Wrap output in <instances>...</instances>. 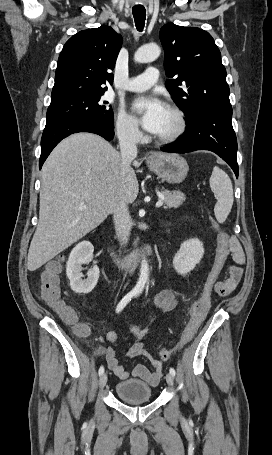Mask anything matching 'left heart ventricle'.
Listing matches in <instances>:
<instances>
[{"mask_svg":"<svg viewBox=\"0 0 272 455\" xmlns=\"http://www.w3.org/2000/svg\"><path fill=\"white\" fill-rule=\"evenodd\" d=\"M175 127V118L173 114L167 109L161 128L156 135L161 136L170 133Z\"/></svg>","mask_w":272,"mask_h":455,"instance_id":"1","label":"left heart ventricle"}]
</instances>
